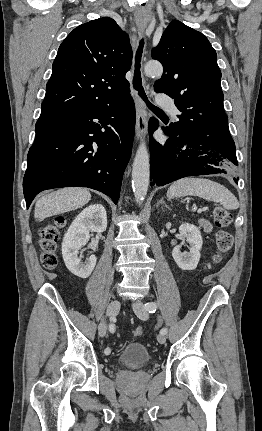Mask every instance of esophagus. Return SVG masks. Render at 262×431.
<instances>
[{
  "instance_id": "esophagus-1",
  "label": "esophagus",
  "mask_w": 262,
  "mask_h": 431,
  "mask_svg": "<svg viewBox=\"0 0 262 431\" xmlns=\"http://www.w3.org/2000/svg\"><path fill=\"white\" fill-rule=\"evenodd\" d=\"M146 24L138 25V32L140 35H143L146 31ZM134 100L136 105V125H135V132H136V138L138 140L142 139L147 134V125H148V114L145 107V104L143 103L141 97L138 95V93L134 92Z\"/></svg>"
}]
</instances>
